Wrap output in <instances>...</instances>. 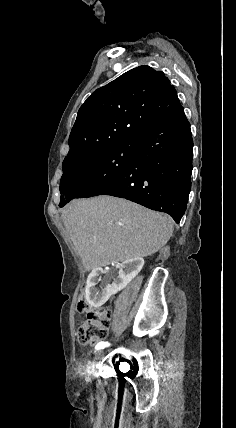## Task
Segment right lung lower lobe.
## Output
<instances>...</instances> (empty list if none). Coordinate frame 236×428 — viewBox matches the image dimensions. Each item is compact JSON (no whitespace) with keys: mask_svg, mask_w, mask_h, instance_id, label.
<instances>
[{"mask_svg":"<svg viewBox=\"0 0 236 428\" xmlns=\"http://www.w3.org/2000/svg\"><path fill=\"white\" fill-rule=\"evenodd\" d=\"M136 155L112 182L96 192L165 212L180 222L191 190L193 140L181 106L136 138Z\"/></svg>","mask_w":236,"mask_h":428,"instance_id":"98d812e1","label":"right lung lower lobe"}]
</instances>
